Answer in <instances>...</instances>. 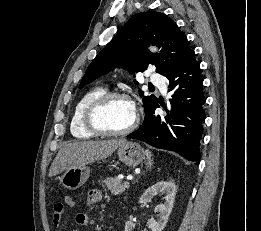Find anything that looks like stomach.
Instances as JSON below:
<instances>
[{"instance_id": "0dacf381", "label": "stomach", "mask_w": 261, "mask_h": 231, "mask_svg": "<svg viewBox=\"0 0 261 231\" xmlns=\"http://www.w3.org/2000/svg\"><path fill=\"white\" fill-rule=\"evenodd\" d=\"M119 160L129 167L138 166L145 159L144 149L137 143L125 141L117 148ZM90 169L85 165L69 168L61 176L60 180L64 187L75 190L81 187L89 178Z\"/></svg>"}]
</instances>
